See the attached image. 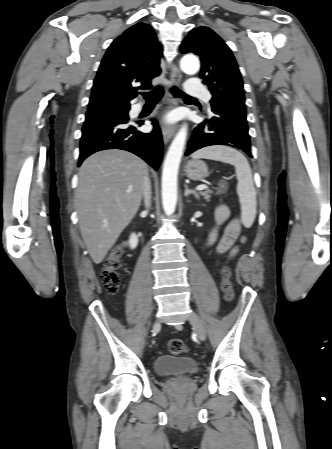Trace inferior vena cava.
Returning a JSON list of instances; mask_svg holds the SVG:
<instances>
[{"mask_svg":"<svg viewBox=\"0 0 332 449\" xmlns=\"http://www.w3.org/2000/svg\"><path fill=\"white\" fill-rule=\"evenodd\" d=\"M143 198L146 209L151 205V184L149 177L146 175L143 181Z\"/></svg>","mask_w":332,"mask_h":449,"instance_id":"602c4592","label":"inferior vena cava"}]
</instances>
